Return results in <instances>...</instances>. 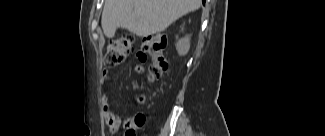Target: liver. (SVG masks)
Here are the masks:
<instances>
[{
    "label": "liver",
    "instance_id": "6515ba94",
    "mask_svg": "<svg viewBox=\"0 0 325 136\" xmlns=\"http://www.w3.org/2000/svg\"><path fill=\"white\" fill-rule=\"evenodd\" d=\"M201 0H105L101 18L104 35L118 28L147 37L164 31L183 15L197 10Z\"/></svg>",
    "mask_w": 325,
    "mask_h": 136
}]
</instances>
